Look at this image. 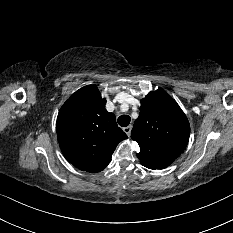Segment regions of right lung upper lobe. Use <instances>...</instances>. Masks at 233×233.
<instances>
[{"mask_svg": "<svg viewBox=\"0 0 233 233\" xmlns=\"http://www.w3.org/2000/svg\"><path fill=\"white\" fill-rule=\"evenodd\" d=\"M105 104L98 88L88 85L70 96L57 117V137L64 157L90 173L107 167L118 143L127 138Z\"/></svg>", "mask_w": 233, "mask_h": 233, "instance_id": "cb5924a9", "label": "right lung upper lobe"}]
</instances>
